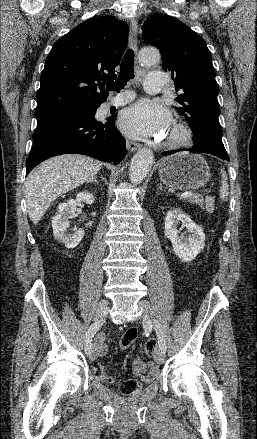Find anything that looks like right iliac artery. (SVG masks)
Masks as SVG:
<instances>
[{"label": "right iliac artery", "instance_id": "obj_1", "mask_svg": "<svg viewBox=\"0 0 257 439\" xmlns=\"http://www.w3.org/2000/svg\"><path fill=\"white\" fill-rule=\"evenodd\" d=\"M102 321H96L93 324L90 325L88 328L86 335H85V343H84V349L86 354L91 353L92 351V339L96 332L100 329L102 326Z\"/></svg>", "mask_w": 257, "mask_h": 439}]
</instances>
